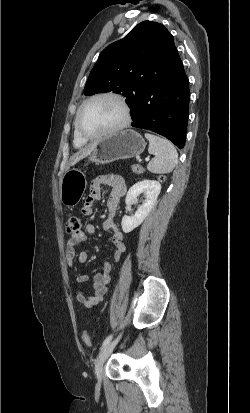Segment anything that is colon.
<instances>
[{"instance_id":"5ec220e1","label":"colon","mask_w":250,"mask_h":413,"mask_svg":"<svg viewBox=\"0 0 250 413\" xmlns=\"http://www.w3.org/2000/svg\"><path fill=\"white\" fill-rule=\"evenodd\" d=\"M132 170L137 174H141L145 172L144 167L139 164L132 165ZM156 181L158 183H165L167 181V176L165 174L158 173L156 176ZM81 225H82L81 218L78 215H72L68 218L66 222V231L68 234L73 236L72 235L73 230L81 229ZM82 340L88 346L93 345V340L91 336L89 335L88 331H84L82 333Z\"/></svg>"}]
</instances>
